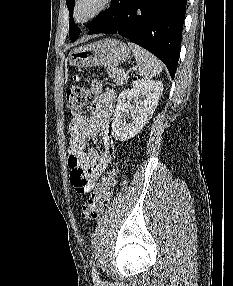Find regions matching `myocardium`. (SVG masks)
I'll return each mask as SVG.
<instances>
[{
  "instance_id": "myocardium-1",
  "label": "myocardium",
  "mask_w": 233,
  "mask_h": 286,
  "mask_svg": "<svg viewBox=\"0 0 233 286\" xmlns=\"http://www.w3.org/2000/svg\"><path fill=\"white\" fill-rule=\"evenodd\" d=\"M83 0H75L72 10V18L75 23L77 24H86L95 18H97L99 15H101L103 12H105L112 4V0H100L99 7L89 16L86 18L80 19L78 17V8Z\"/></svg>"
}]
</instances>
